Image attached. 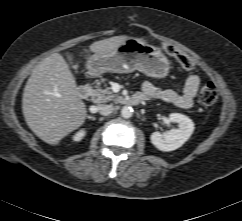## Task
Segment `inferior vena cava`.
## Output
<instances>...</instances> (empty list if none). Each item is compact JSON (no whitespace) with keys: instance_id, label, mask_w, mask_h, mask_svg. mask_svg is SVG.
<instances>
[{"instance_id":"1","label":"inferior vena cava","mask_w":242,"mask_h":221,"mask_svg":"<svg viewBox=\"0 0 242 221\" xmlns=\"http://www.w3.org/2000/svg\"><path fill=\"white\" fill-rule=\"evenodd\" d=\"M114 106L112 105H99L98 111L101 115L107 116L114 111Z\"/></svg>"}]
</instances>
